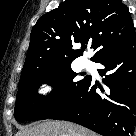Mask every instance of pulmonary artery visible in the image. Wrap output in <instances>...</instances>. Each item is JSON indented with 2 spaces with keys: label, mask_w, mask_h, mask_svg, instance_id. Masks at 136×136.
Instances as JSON below:
<instances>
[{
  "label": "pulmonary artery",
  "mask_w": 136,
  "mask_h": 136,
  "mask_svg": "<svg viewBox=\"0 0 136 136\" xmlns=\"http://www.w3.org/2000/svg\"><path fill=\"white\" fill-rule=\"evenodd\" d=\"M90 65H91V62H90L89 60H84V61H83V66H84V67H87V68H88V67H90Z\"/></svg>",
  "instance_id": "e3ab8cb5"
}]
</instances>
